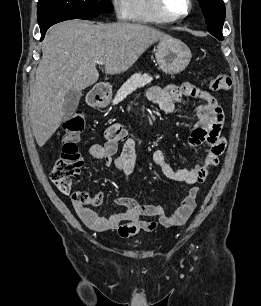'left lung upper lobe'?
<instances>
[{"label": "left lung upper lobe", "instance_id": "left-lung-upper-lobe-1", "mask_svg": "<svg viewBox=\"0 0 261 306\" xmlns=\"http://www.w3.org/2000/svg\"><path fill=\"white\" fill-rule=\"evenodd\" d=\"M208 25V31L214 36H222L225 20L223 0H198Z\"/></svg>", "mask_w": 261, "mask_h": 306}]
</instances>
